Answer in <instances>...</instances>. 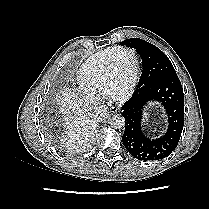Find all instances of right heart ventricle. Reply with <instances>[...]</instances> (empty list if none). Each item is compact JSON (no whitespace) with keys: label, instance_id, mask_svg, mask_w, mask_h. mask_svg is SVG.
Segmentation results:
<instances>
[{"label":"right heart ventricle","instance_id":"obj_1","mask_svg":"<svg viewBox=\"0 0 209 209\" xmlns=\"http://www.w3.org/2000/svg\"><path fill=\"white\" fill-rule=\"evenodd\" d=\"M116 48L110 47L99 51L82 64L78 71L77 82L84 92L92 96L105 95L103 90L105 69Z\"/></svg>","mask_w":209,"mask_h":209}]
</instances>
